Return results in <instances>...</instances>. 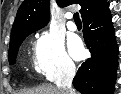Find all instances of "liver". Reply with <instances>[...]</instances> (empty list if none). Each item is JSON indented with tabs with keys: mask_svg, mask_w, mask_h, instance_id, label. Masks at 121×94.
I'll return each instance as SVG.
<instances>
[{
	"mask_svg": "<svg viewBox=\"0 0 121 94\" xmlns=\"http://www.w3.org/2000/svg\"><path fill=\"white\" fill-rule=\"evenodd\" d=\"M19 94H62L61 89L52 85H42L33 89L21 91Z\"/></svg>",
	"mask_w": 121,
	"mask_h": 94,
	"instance_id": "liver-1",
	"label": "liver"
}]
</instances>
